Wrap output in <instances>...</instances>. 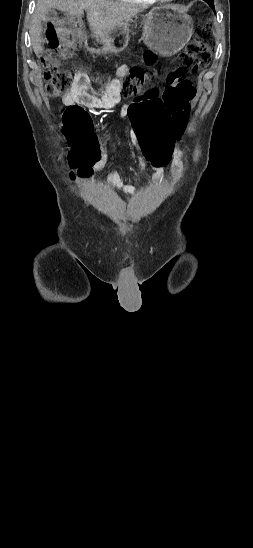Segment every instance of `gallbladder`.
Here are the masks:
<instances>
[{"label":"gallbladder","mask_w":253,"mask_h":548,"mask_svg":"<svg viewBox=\"0 0 253 548\" xmlns=\"http://www.w3.org/2000/svg\"><path fill=\"white\" fill-rule=\"evenodd\" d=\"M57 17V12L54 10V9H50L46 15H45V18L44 20L45 21H50V20H53Z\"/></svg>","instance_id":"bac80fb5"}]
</instances>
